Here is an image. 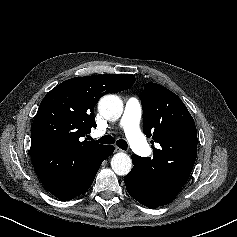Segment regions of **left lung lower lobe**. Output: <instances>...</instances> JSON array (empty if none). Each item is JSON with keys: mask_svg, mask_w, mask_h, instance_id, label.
<instances>
[{"mask_svg": "<svg viewBox=\"0 0 237 237\" xmlns=\"http://www.w3.org/2000/svg\"><path fill=\"white\" fill-rule=\"evenodd\" d=\"M137 157V155H132L134 166L124 178L128 193L150 209H155L173 201L181 188L160 187L155 180L143 177Z\"/></svg>", "mask_w": 237, "mask_h": 237, "instance_id": "0a47b994", "label": "left lung lower lobe"}]
</instances>
